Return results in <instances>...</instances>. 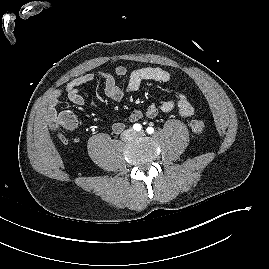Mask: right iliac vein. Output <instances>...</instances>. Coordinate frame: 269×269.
<instances>
[{
  "label": "right iliac vein",
  "mask_w": 269,
  "mask_h": 269,
  "mask_svg": "<svg viewBox=\"0 0 269 269\" xmlns=\"http://www.w3.org/2000/svg\"><path fill=\"white\" fill-rule=\"evenodd\" d=\"M132 136H133L132 131L131 130H128L125 133H123L122 138L124 140H127V139H131Z\"/></svg>",
  "instance_id": "right-iliac-vein-1"
}]
</instances>
